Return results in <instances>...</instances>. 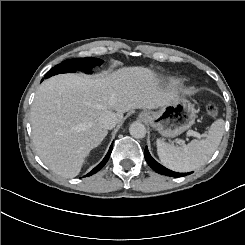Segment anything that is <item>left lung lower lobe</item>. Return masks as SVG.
Returning a JSON list of instances; mask_svg holds the SVG:
<instances>
[{"label": "left lung lower lobe", "mask_w": 245, "mask_h": 245, "mask_svg": "<svg viewBox=\"0 0 245 245\" xmlns=\"http://www.w3.org/2000/svg\"><path fill=\"white\" fill-rule=\"evenodd\" d=\"M144 156L145 159L148 163V165L157 173L162 174V175H166V176H170V177H182L185 175H188L190 173H177L174 171H171L167 168H165L164 166L160 165L158 162H156L150 155L147 146L145 147V151H144Z\"/></svg>", "instance_id": "1"}]
</instances>
